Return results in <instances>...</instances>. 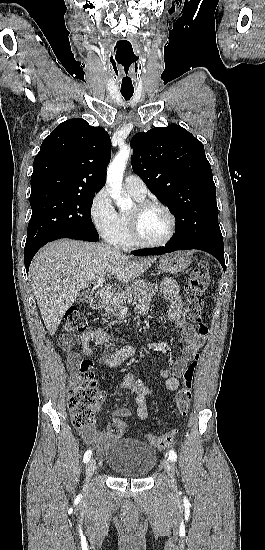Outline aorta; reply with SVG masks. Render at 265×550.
<instances>
[{
  "instance_id": "1",
  "label": "aorta",
  "mask_w": 265,
  "mask_h": 550,
  "mask_svg": "<svg viewBox=\"0 0 265 550\" xmlns=\"http://www.w3.org/2000/svg\"><path fill=\"white\" fill-rule=\"evenodd\" d=\"M130 154L131 149L123 146L107 170V183L110 187V196L121 209H129L133 205L132 200L129 197H124L122 192L123 174Z\"/></svg>"
}]
</instances>
